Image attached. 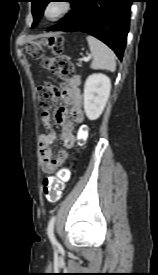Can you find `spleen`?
I'll return each mask as SVG.
<instances>
[{
    "instance_id": "3e777b00",
    "label": "spleen",
    "mask_w": 158,
    "mask_h": 275,
    "mask_svg": "<svg viewBox=\"0 0 158 275\" xmlns=\"http://www.w3.org/2000/svg\"><path fill=\"white\" fill-rule=\"evenodd\" d=\"M87 41L93 56L91 68L106 69L114 72L116 69L114 52L107 45L93 36H87Z\"/></svg>"
}]
</instances>
